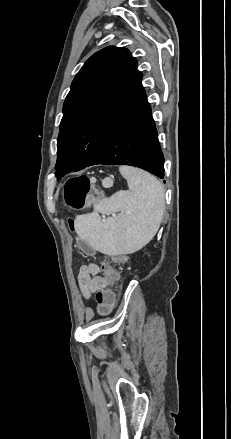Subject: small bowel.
<instances>
[{
	"label": "small bowel",
	"mask_w": 231,
	"mask_h": 439,
	"mask_svg": "<svg viewBox=\"0 0 231 439\" xmlns=\"http://www.w3.org/2000/svg\"><path fill=\"white\" fill-rule=\"evenodd\" d=\"M78 283L82 296L89 299L99 293L100 287H111L104 276L100 275L99 266L96 264L83 265L78 274Z\"/></svg>",
	"instance_id": "obj_1"
}]
</instances>
